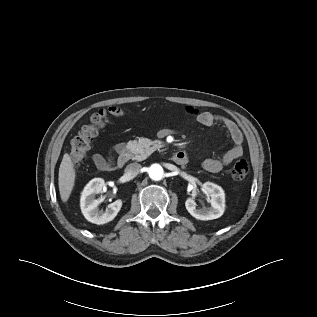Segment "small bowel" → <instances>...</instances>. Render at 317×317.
<instances>
[{
	"label": "small bowel",
	"mask_w": 317,
	"mask_h": 317,
	"mask_svg": "<svg viewBox=\"0 0 317 317\" xmlns=\"http://www.w3.org/2000/svg\"><path fill=\"white\" fill-rule=\"evenodd\" d=\"M187 112L194 115L197 122L204 126H212L216 123L221 124L228 132L231 140L233 141V147L223 154L220 158H208L205 159L201 166L210 173H218L224 167L230 165L233 161L240 158L243 153V133L239 126L232 120L218 116L209 111H199L193 107H187ZM122 148V144H118L114 147L113 152L116 153ZM113 160V156L105 158L100 154L93 155V162L95 166L102 171H106L107 164Z\"/></svg>",
	"instance_id": "1"
}]
</instances>
